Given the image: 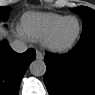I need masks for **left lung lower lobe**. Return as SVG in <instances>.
<instances>
[{"instance_id":"1","label":"left lung lower lobe","mask_w":95,"mask_h":95,"mask_svg":"<svg viewBox=\"0 0 95 95\" xmlns=\"http://www.w3.org/2000/svg\"><path fill=\"white\" fill-rule=\"evenodd\" d=\"M50 95H95V33L80 37L67 54L45 57Z\"/></svg>"}]
</instances>
